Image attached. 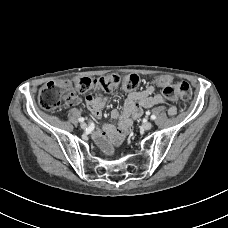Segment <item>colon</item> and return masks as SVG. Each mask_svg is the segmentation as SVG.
I'll use <instances>...</instances> for the list:
<instances>
[{
  "mask_svg": "<svg viewBox=\"0 0 228 228\" xmlns=\"http://www.w3.org/2000/svg\"><path fill=\"white\" fill-rule=\"evenodd\" d=\"M157 86L163 88L164 96L171 101L188 100L191 88L187 82L172 83L166 75L155 79ZM139 85V77L135 74L118 76L107 75L97 78L77 77L73 81H51L39 91L38 102L45 110H54L65 104L76 101L74 91L80 93L105 91L112 92L118 87L125 91H133Z\"/></svg>",
  "mask_w": 228,
  "mask_h": 228,
  "instance_id": "1",
  "label": "colon"
}]
</instances>
